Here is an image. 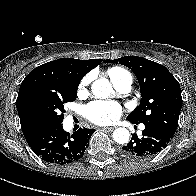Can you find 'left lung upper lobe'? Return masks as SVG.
I'll use <instances>...</instances> for the list:
<instances>
[{
    "label": "left lung upper lobe",
    "instance_id": "obj_1",
    "mask_svg": "<svg viewBox=\"0 0 196 196\" xmlns=\"http://www.w3.org/2000/svg\"><path fill=\"white\" fill-rule=\"evenodd\" d=\"M105 63H120L136 75L140 90V105L127 116L138 123L156 124L170 135H174L182 107L179 83L167 68L138 56H125Z\"/></svg>",
    "mask_w": 196,
    "mask_h": 196
}]
</instances>
